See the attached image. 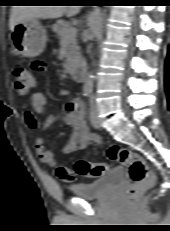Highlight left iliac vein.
Returning <instances> with one entry per match:
<instances>
[{
    "label": "left iliac vein",
    "mask_w": 170,
    "mask_h": 231,
    "mask_svg": "<svg viewBox=\"0 0 170 231\" xmlns=\"http://www.w3.org/2000/svg\"><path fill=\"white\" fill-rule=\"evenodd\" d=\"M89 119H90L91 125L95 129L100 128V120L98 118V110H97V106L94 104L93 98H91V100H90Z\"/></svg>",
    "instance_id": "obj_1"
}]
</instances>
